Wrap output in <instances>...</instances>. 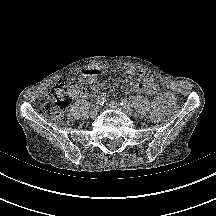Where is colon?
<instances>
[{
    "label": "colon",
    "mask_w": 216,
    "mask_h": 216,
    "mask_svg": "<svg viewBox=\"0 0 216 216\" xmlns=\"http://www.w3.org/2000/svg\"><path fill=\"white\" fill-rule=\"evenodd\" d=\"M77 88L78 86L74 83H67L63 80L58 81L48 93V99L43 104V112L59 124H67L69 122L67 112L69 98ZM169 104L170 111L177 114L179 112V103L174 94L171 95Z\"/></svg>",
    "instance_id": "colon-1"
}]
</instances>
